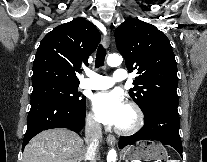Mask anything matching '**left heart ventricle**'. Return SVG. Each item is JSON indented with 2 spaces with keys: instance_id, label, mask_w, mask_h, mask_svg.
Instances as JSON below:
<instances>
[{
  "instance_id": "left-heart-ventricle-1",
  "label": "left heart ventricle",
  "mask_w": 207,
  "mask_h": 162,
  "mask_svg": "<svg viewBox=\"0 0 207 162\" xmlns=\"http://www.w3.org/2000/svg\"><path fill=\"white\" fill-rule=\"evenodd\" d=\"M133 121H134V114L132 110L126 105L117 126L121 128H126L132 125Z\"/></svg>"
}]
</instances>
